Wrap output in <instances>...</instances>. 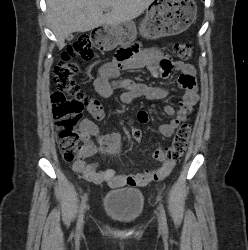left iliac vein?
Returning <instances> with one entry per match:
<instances>
[{
	"label": "left iliac vein",
	"mask_w": 248,
	"mask_h": 250,
	"mask_svg": "<svg viewBox=\"0 0 248 250\" xmlns=\"http://www.w3.org/2000/svg\"><path fill=\"white\" fill-rule=\"evenodd\" d=\"M159 221H160V228L163 229V225L161 223V220L159 219Z\"/></svg>",
	"instance_id": "1"
}]
</instances>
